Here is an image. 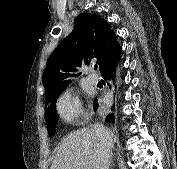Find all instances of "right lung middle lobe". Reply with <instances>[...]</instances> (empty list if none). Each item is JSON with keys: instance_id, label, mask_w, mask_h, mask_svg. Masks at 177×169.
Masks as SVG:
<instances>
[{"instance_id": "obj_1", "label": "right lung middle lobe", "mask_w": 177, "mask_h": 169, "mask_svg": "<svg viewBox=\"0 0 177 169\" xmlns=\"http://www.w3.org/2000/svg\"><path fill=\"white\" fill-rule=\"evenodd\" d=\"M48 102L49 101H46V103ZM50 102L52 103V107L46 110V121L49 136H51L55 132V127L57 124V115L55 114L56 99Z\"/></svg>"}]
</instances>
